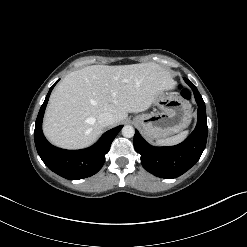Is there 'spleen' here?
<instances>
[{
  "label": "spleen",
  "mask_w": 247,
  "mask_h": 247,
  "mask_svg": "<svg viewBox=\"0 0 247 247\" xmlns=\"http://www.w3.org/2000/svg\"><path fill=\"white\" fill-rule=\"evenodd\" d=\"M188 133H189L188 131H183L175 136L165 139H159L156 141V144L159 146H172L179 144L188 136Z\"/></svg>",
  "instance_id": "spleen-1"
}]
</instances>
